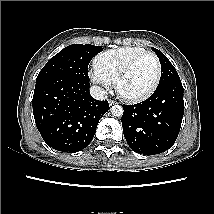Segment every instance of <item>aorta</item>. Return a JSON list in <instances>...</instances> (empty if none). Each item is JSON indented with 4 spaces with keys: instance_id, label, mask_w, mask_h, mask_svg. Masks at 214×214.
Segmentation results:
<instances>
[{
    "instance_id": "obj_1",
    "label": "aorta",
    "mask_w": 214,
    "mask_h": 214,
    "mask_svg": "<svg viewBox=\"0 0 214 214\" xmlns=\"http://www.w3.org/2000/svg\"><path fill=\"white\" fill-rule=\"evenodd\" d=\"M111 113L114 116L120 117L123 114V108L120 105H114L111 108Z\"/></svg>"
}]
</instances>
